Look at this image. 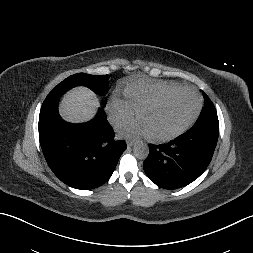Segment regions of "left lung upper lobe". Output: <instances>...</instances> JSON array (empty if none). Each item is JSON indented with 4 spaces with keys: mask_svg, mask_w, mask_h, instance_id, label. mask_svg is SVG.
<instances>
[{
    "mask_svg": "<svg viewBox=\"0 0 253 253\" xmlns=\"http://www.w3.org/2000/svg\"><path fill=\"white\" fill-rule=\"evenodd\" d=\"M202 93L204 96L205 105H204L202 113L200 114V116L195 124L210 123V124H214V125H219L217 112L214 107V104L212 103V101L209 99V97L204 92H202Z\"/></svg>",
    "mask_w": 253,
    "mask_h": 253,
    "instance_id": "obj_1",
    "label": "left lung upper lobe"
}]
</instances>
